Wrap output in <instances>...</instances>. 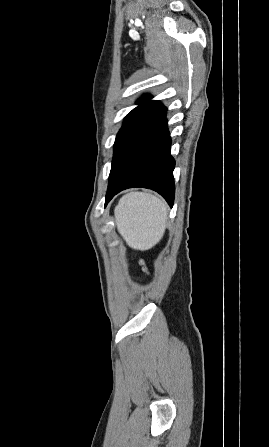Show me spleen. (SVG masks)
<instances>
[{
  "label": "spleen",
  "instance_id": "spleen-1",
  "mask_svg": "<svg viewBox=\"0 0 269 447\" xmlns=\"http://www.w3.org/2000/svg\"><path fill=\"white\" fill-rule=\"evenodd\" d=\"M167 206L161 198L148 192H129L114 210L119 233L134 249H150L163 237Z\"/></svg>",
  "mask_w": 269,
  "mask_h": 447
}]
</instances>
